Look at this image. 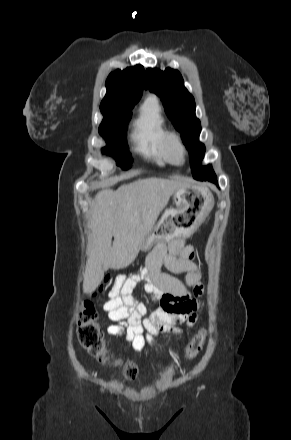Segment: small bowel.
Segmentation results:
<instances>
[{"mask_svg":"<svg viewBox=\"0 0 291 440\" xmlns=\"http://www.w3.org/2000/svg\"><path fill=\"white\" fill-rule=\"evenodd\" d=\"M194 250L183 240H175L167 245L156 246L146 259V271L128 278L117 277L110 288L108 300L103 309L113 322L108 326V333L122 336L139 352L145 342L153 344V336L172 333L171 324L178 323L180 317L192 325L197 320V310L201 303L191 299L189 289L196 297L203 293L202 272L193 260ZM164 264L172 273H185V282H181L170 273L161 272ZM145 280L144 289L153 299L159 301V308L150 317L142 320L147 313V306L132 296L134 286ZM125 319V322L121 320ZM146 331V337L143 332Z\"/></svg>","mask_w":291,"mask_h":440,"instance_id":"obj_1","label":"small bowel"}]
</instances>
